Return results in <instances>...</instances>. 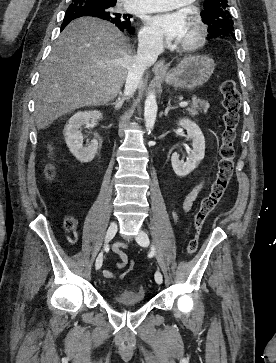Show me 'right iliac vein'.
I'll use <instances>...</instances> for the list:
<instances>
[{
  "label": "right iliac vein",
  "instance_id": "63e3f726",
  "mask_svg": "<svg viewBox=\"0 0 276 363\" xmlns=\"http://www.w3.org/2000/svg\"><path fill=\"white\" fill-rule=\"evenodd\" d=\"M117 232V223L115 221L111 222L105 236V243H108L113 239ZM103 261V253L101 252L96 259L95 266L97 267Z\"/></svg>",
  "mask_w": 276,
  "mask_h": 363
}]
</instances>
